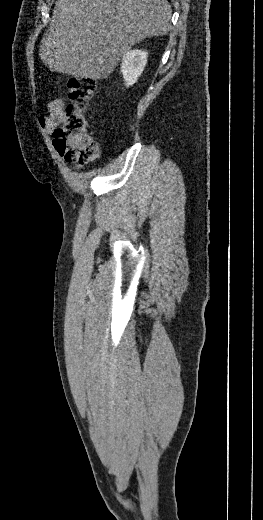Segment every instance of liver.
Returning <instances> with one entry per match:
<instances>
[{"instance_id": "1", "label": "liver", "mask_w": 263, "mask_h": 520, "mask_svg": "<svg viewBox=\"0 0 263 520\" xmlns=\"http://www.w3.org/2000/svg\"><path fill=\"white\" fill-rule=\"evenodd\" d=\"M167 0H57L39 55L51 71L107 78L120 57L171 28Z\"/></svg>"}]
</instances>
